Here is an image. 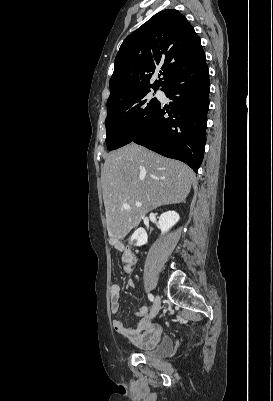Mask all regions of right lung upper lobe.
I'll return each mask as SVG.
<instances>
[{
  "label": "right lung upper lobe",
  "instance_id": "1",
  "mask_svg": "<svg viewBox=\"0 0 273 401\" xmlns=\"http://www.w3.org/2000/svg\"><path fill=\"white\" fill-rule=\"evenodd\" d=\"M205 61L200 38L185 16L174 9L160 11L120 46L109 82L107 107L139 92L164 86L179 69ZM159 69L162 78L151 85L150 79Z\"/></svg>",
  "mask_w": 273,
  "mask_h": 401
}]
</instances>
